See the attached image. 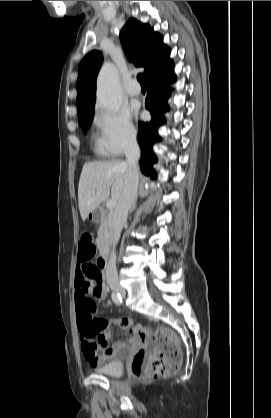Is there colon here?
I'll return each instance as SVG.
<instances>
[{
	"instance_id": "5ec220e1",
	"label": "colon",
	"mask_w": 271,
	"mask_h": 418,
	"mask_svg": "<svg viewBox=\"0 0 271 418\" xmlns=\"http://www.w3.org/2000/svg\"><path fill=\"white\" fill-rule=\"evenodd\" d=\"M96 253V245L89 232L79 239V262L90 261ZM181 364V351L176 336L168 329H159L152 341L134 356L131 369L135 376L163 378L174 374Z\"/></svg>"
}]
</instances>
